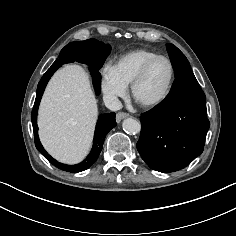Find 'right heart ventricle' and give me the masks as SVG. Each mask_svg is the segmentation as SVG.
<instances>
[{"label": "right heart ventricle", "mask_w": 236, "mask_h": 236, "mask_svg": "<svg viewBox=\"0 0 236 236\" xmlns=\"http://www.w3.org/2000/svg\"><path fill=\"white\" fill-rule=\"evenodd\" d=\"M158 54L146 48H138L121 54L112 65L117 77L126 85H131L140 68Z\"/></svg>", "instance_id": "obj_1"}]
</instances>
